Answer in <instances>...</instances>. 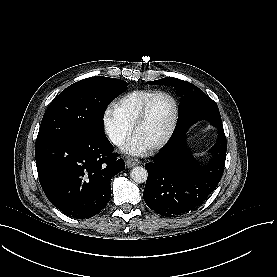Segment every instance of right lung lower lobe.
Instances as JSON below:
<instances>
[{"label":"right lung lower lobe","instance_id":"98d812e1","mask_svg":"<svg viewBox=\"0 0 277 277\" xmlns=\"http://www.w3.org/2000/svg\"><path fill=\"white\" fill-rule=\"evenodd\" d=\"M105 134L37 139L41 187L63 213L79 219L98 214L111 197L110 180L125 169Z\"/></svg>","mask_w":277,"mask_h":277}]
</instances>
